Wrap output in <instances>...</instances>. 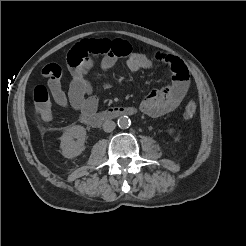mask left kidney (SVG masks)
Wrapping results in <instances>:
<instances>
[{
	"label": "left kidney",
	"mask_w": 246,
	"mask_h": 246,
	"mask_svg": "<svg viewBox=\"0 0 246 246\" xmlns=\"http://www.w3.org/2000/svg\"><path fill=\"white\" fill-rule=\"evenodd\" d=\"M168 132H169L170 134H172V133L175 132V130H174L173 128H170V129H168Z\"/></svg>",
	"instance_id": "left-kidney-1"
}]
</instances>
